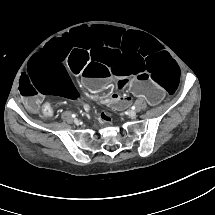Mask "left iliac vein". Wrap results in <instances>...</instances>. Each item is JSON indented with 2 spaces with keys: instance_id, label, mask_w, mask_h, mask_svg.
Segmentation results:
<instances>
[{
  "instance_id": "left-iliac-vein-1",
  "label": "left iliac vein",
  "mask_w": 215,
  "mask_h": 215,
  "mask_svg": "<svg viewBox=\"0 0 215 215\" xmlns=\"http://www.w3.org/2000/svg\"><path fill=\"white\" fill-rule=\"evenodd\" d=\"M127 114H128L131 118H135V117H136V111H134V110H129V111L127 112Z\"/></svg>"
}]
</instances>
